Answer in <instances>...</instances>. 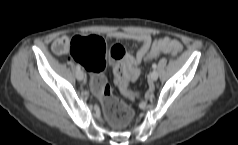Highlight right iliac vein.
<instances>
[{
    "instance_id": "1",
    "label": "right iliac vein",
    "mask_w": 238,
    "mask_h": 145,
    "mask_svg": "<svg viewBox=\"0 0 238 145\" xmlns=\"http://www.w3.org/2000/svg\"><path fill=\"white\" fill-rule=\"evenodd\" d=\"M76 78L79 80V81H82L84 79V73L79 70L76 72Z\"/></svg>"
}]
</instances>
